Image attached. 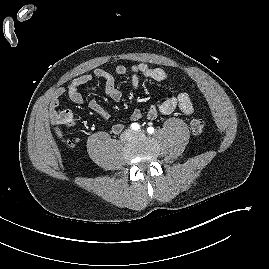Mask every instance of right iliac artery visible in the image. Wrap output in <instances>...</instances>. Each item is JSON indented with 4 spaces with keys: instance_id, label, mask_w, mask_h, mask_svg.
Here are the masks:
<instances>
[{
    "instance_id": "82829eb1",
    "label": "right iliac artery",
    "mask_w": 269,
    "mask_h": 269,
    "mask_svg": "<svg viewBox=\"0 0 269 269\" xmlns=\"http://www.w3.org/2000/svg\"><path fill=\"white\" fill-rule=\"evenodd\" d=\"M130 127L135 131L140 129V125L138 123H132Z\"/></svg>"
}]
</instances>
